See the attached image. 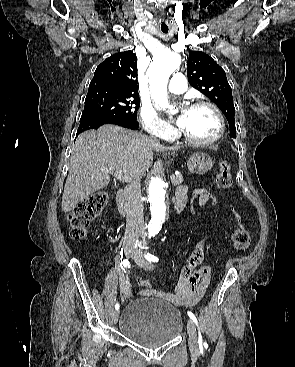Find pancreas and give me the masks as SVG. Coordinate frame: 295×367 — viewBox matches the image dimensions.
<instances>
[{
    "instance_id": "1",
    "label": "pancreas",
    "mask_w": 295,
    "mask_h": 367,
    "mask_svg": "<svg viewBox=\"0 0 295 367\" xmlns=\"http://www.w3.org/2000/svg\"><path fill=\"white\" fill-rule=\"evenodd\" d=\"M172 180V184L174 186L180 185L183 182V177L181 174L176 175L175 178L171 179Z\"/></svg>"
}]
</instances>
